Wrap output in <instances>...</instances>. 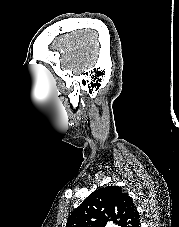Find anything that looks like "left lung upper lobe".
Wrapping results in <instances>:
<instances>
[{
  "label": "left lung upper lobe",
  "mask_w": 179,
  "mask_h": 227,
  "mask_svg": "<svg viewBox=\"0 0 179 227\" xmlns=\"http://www.w3.org/2000/svg\"><path fill=\"white\" fill-rule=\"evenodd\" d=\"M139 227V213L132 198L118 186L92 192L69 216L66 227Z\"/></svg>",
  "instance_id": "left-lung-upper-lobe-1"
}]
</instances>
